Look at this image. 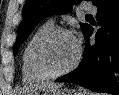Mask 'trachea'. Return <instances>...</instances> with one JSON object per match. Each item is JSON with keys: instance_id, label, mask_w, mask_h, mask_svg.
<instances>
[{"instance_id": "trachea-1", "label": "trachea", "mask_w": 119, "mask_h": 95, "mask_svg": "<svg viewBox=\"0 0 119 95\" xmlns=\"http://www.w3.org/2000/svg\"><path fill=\"white\" fill-rule=\"evenodd\" d=\"M92 15H90V14H87V17H91Z\"/></svg>"}]
</instances>
